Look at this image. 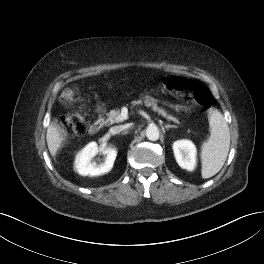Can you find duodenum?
Segmentation results:
<instances>
[{
    "mask_svg": "<svg viewBox=\"0 0 264 264\" xmlns=\"http://www.w3.org/2000/svg\"><path fill=\"white\" fill-rule=\"evenodd\" d=\"M104 120H103V111L98 110L97 111V118L96 120L91 124L89 128V133L90 134H96L103 126Z\"/></svg>",
    "mask_w": 264,
    "mask_h": 264,
    "instance_id": "obj_1",
    "label": "duodenum"
}]
</instances>
